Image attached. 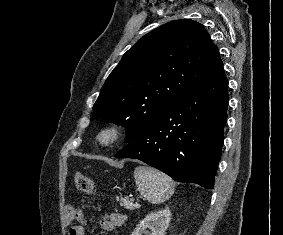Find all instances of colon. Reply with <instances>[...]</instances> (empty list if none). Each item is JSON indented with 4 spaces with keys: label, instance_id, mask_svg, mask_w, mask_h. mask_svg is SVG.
I'll return each instance as SVG.
<instances>
[{
    "label": "colon",
    "instance_id": "1",
    "mask_svg": "<svg viewBox=\"0 0 283 235\" xmlns=\"http://www.w3.org/2000/svg\"><path fill=\"white\" fill-rule=\"evenodd\" d=\"M74 182L76 187L83 193L87 194V195H94L97 192V189L94 185L93 180L81 173V172H75L74 174Z\"/></svg>",
    "mask_w": 283,
    "mask_h": 235
}]
</instances>
